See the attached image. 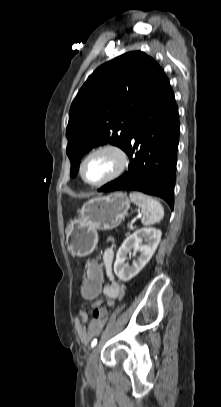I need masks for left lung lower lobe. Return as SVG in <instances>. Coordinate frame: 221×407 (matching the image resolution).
Masks as SVG:
<instances>
[{"label": "left lung lower lobe", "mask_w": 221, "mask_h": 407, "mask_svg": "<svg viewBox=\"0 0 221 407\" xmlns=\"http://www.w3.org/2000/svg\"><path fill=\"white\" fill-rule=\"evenodd\" d=\"M179 133L178 108L165 76L131 128L124 148L128 171L98 191H141L161 197L173 210Z\"/></svg>", "instance_id": "obj_1"}]
</instances>
